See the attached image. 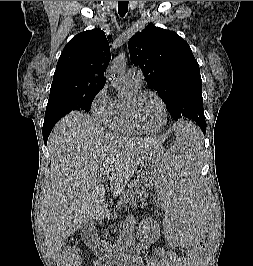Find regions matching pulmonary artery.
I'll list each match as a JSON object with an SVG mask.
<instances>
[{"mask_svg": "<svg viewBox=\"0 0 253 266\" xmlns=\"http://www.w3.org/2000/svg\"><path fill=\"white\" fill-rule=\"evenodd\" d=\"M142 77V72L136 68L128 69L125 74L126 82L136 86H140L142 84Z\"/></svg>", "mask_w": 253, "mask_h": 266, "instance_id": "obj_1", "label": "pulmonary artery"}]
</instances>
